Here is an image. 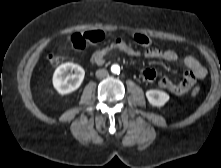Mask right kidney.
<instances>
[{"instance_id": "obj_1", "label": "right kidney", "mask_w": 221, "mask_h": 168, "mask_svg": "<svg viewBox=\"0 0 221 168\" xmlns=\"http://www.w3.org/2000/svg\"><path fill=\"white\" fill-rule=\"evenodd\" d=\"M74 71V74H68ZM85 76L84 69L78 64L64 63L60 65L53 75V86L61 95L69 94L77 90L82 84Z\"/></svg>"}]
</instances>
